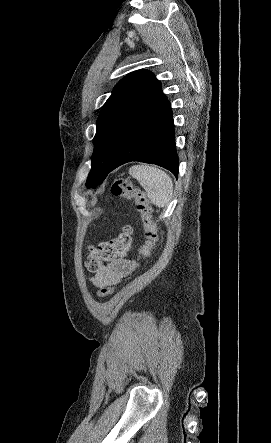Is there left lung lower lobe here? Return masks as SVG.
Wrapping results in <instances>:
<instances>
[{
	"instance_id": "1",
	"label": "left lung lower lobe",
	"mask_w": 271,
	"mask_h": 443,
	"mask_svg": "<svg viewBox=\"0 0 271 443\" xmlns=\"http://www.w3.org/2000/svg\"><path fill=\"white\" fill-rule=\"evenodd\" d=\"M131 161L156 164L178 175L172 110L158 82L126 128L110 172Z\"/></svg>"
}]
</instances>
